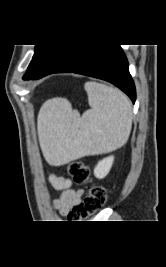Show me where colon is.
I'll use <instances>...</instances> for the list:
<instances>
[{"mask_svg": "<svg viewBox=\"0 0 166 267\" xmlns=\"http://www.w3.org/2000/svg\"><path fill=\"white\" fill-rule=\"evenodd\" d=\"M68 173L75 183L88 187L84 200L75 205L67 217L70 222H82L104 206L106 190L101 185L91 184L90 169L80 161L72 162L68 166Z\"/></svg>", "mask_w": 166, "mask_h": 267, "instance_id": "1", "label": "colon"}]
</instances>
